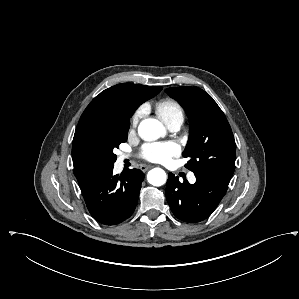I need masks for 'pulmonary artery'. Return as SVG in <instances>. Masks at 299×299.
<instances>
[{
    "label": "pulmonary artery",
    "instance_id": "obj_1",
    "mask_svg": "<svg viewBox=\"0 0 299 299\" xmlns=\"http://www.w3.org/2000/svg\"><path fill=\"white\" fill-rule=\"evenodd\" d=\"M182 122H183V121H182L181 119H176V120H173V121L169 122V123L167 124V126H168V128H169L171 131H177V130L180 128ZM126 157H127L126 155H122V156H121V159H124V158H126ZM188 180H189L190 182H192V183L195 182L196 178H195V176H194L193 173H190V174H189V176H188Z\"/></svg>",
    "mask_w": 299,
    "mask_h": 299
}]
</instances>
